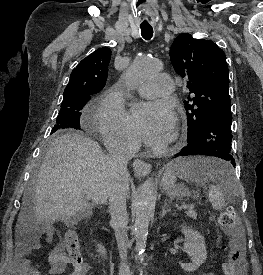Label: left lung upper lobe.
I'll return each mask as SVG.
<instances>
[{"label":"left lung upper lobe","instance_id":"5c2ea615","mask_svg":"<svg viewBox=\"0 0 263 275\" xmlns=\"http://www.w3.org/2000/svg\"><path fill=\"white\" fill-rule=\"evenodd\" d=\"M170 59L176 73L188 80L187 87L195 94L184 101L188 135L199 132L212 116L231 111L226 56L213 41L181 34L171 46Z\"/></svg>","mask_w":263,"mask_h":275}]
</instances>
